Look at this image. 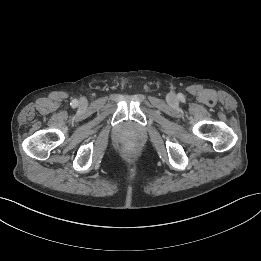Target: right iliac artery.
I'll return each instance as SVG.
<instances>
[{
    "label": "right iliac artery",
    "mask_w": 261,
    "mask_h": 261,
    "mask_svg": "<svg viewBox=\"0 0 261 261\" xmlns=\"http://www.w3.org/2000/svg\"><path fill=\"white\" fill-rule=\"evenodd\" d=\"M77 104H78V101H77L76 99L73 100L72 103H71V105H72L73 107H75Z\"/></svg>",
    "instance_id": "1"
}]
</instances>
